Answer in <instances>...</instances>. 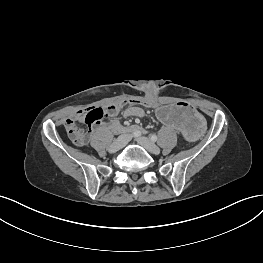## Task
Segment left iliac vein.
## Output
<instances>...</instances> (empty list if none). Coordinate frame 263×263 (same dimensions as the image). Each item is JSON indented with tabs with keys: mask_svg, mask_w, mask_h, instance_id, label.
Instances as JSON below:
<instances>
[{
	"mask_svg": "<svg viewBox=\"0 0 263 263\" xmlns=\"http://www.w3.org/2000/svg\"><path fill=\"white\" fill-rule=\"evenodd\" d=\"M136 141L143 146L147 151L154 153V154H159L160 153V148L149 138L147 137H137Z\"/></svg>",
	"mask_w": 263,
	"mask_h": 263,
	"instance_id": "obj_1",
	"label": "left iliac vein"
}]
</instances>
